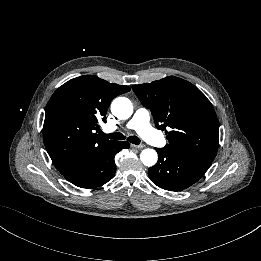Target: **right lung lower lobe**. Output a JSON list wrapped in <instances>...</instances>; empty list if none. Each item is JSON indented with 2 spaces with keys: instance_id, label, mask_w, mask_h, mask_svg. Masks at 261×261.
Listing matches in <instances>:
<instances>
[{
  "instance_id": "right-lung-lower-lobe-1",
  "label": "right lung lower lobe",
  "mask_w": 261,
  "mask_h": 261,
  "mask_svg": "<svg viewBox=\"0 0 261 261\" xmlns=\"http://www.w3.org/2000/svg\"><path fill=\"white\" fill-rule=\"evenodd\" d=\"M126 141L119 142L113 148L88 158L78 166L61 173L67 180L81 188H96L107 183L115 174V155L124 148H129Z\"/></svg>"
}]
</instances>
